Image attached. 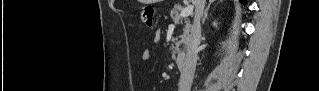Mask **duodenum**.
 Segmentation results:
<instances>
[{"label":"duodenum","instance_id":"410a0bca","mask_svg":"<svg viewBox=\"0 0 319 91\" xmlns=\"http://www.w3.org/2000/svg\"><path fill=\"white\" fill-rule=\"evenodd\" d=\"M173 60L177 64V66L182 69L185 65V55L183 53H175L173 54Z\"/></svg>","mask_w":319,"mask_h":91}]
</instances>
